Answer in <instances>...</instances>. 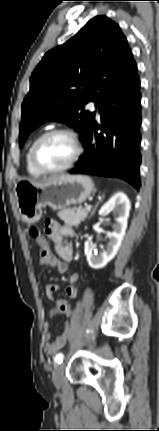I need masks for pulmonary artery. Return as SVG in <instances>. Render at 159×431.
<instances>
[{
    "label": "pulmonary artery",
    "instance_id": "pulmonary-artery-1",
    "mask_svg": "<svg viewBox=\"0 0 159 431\" xmlns=\"http://www.w3.org/2000/svg\"><path fill=\"white\" fill-rule=\"evenodd\" d=\"M89 108H90L91 110L96 111V112H97V114L99 115L98 107H97V105H96L94 102L89 103Z\"/></svg>",
    "mask_w": 159,
    "mask_h": 431
}]
</instances>
